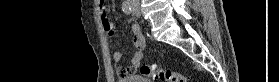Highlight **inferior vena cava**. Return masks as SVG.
<instances>
[{
  "instance_id": "602c4592",
  "label": "inferior vena cava",
  "mask_w": 279,
  "mask_h": 82,
  "mask_svg": "<svg viewBox=\"0 0 279 82\" xmlns=\"http://www.w3.org/2000/svg\"><path fill=\"white\" fill-rule=\"evenodd\" d=\"M134 6H138L139 5V0H132Z\"/></svg>"
}]
</instances>
